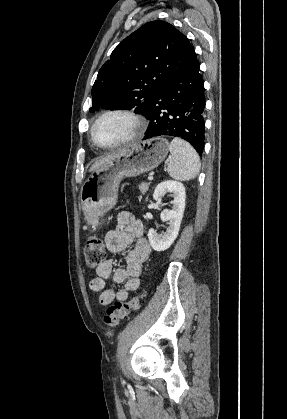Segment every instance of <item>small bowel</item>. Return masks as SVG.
<instances>
[{"mask_svg": "<svg viewBox=\"0 0 287 419\" xmlns=\"http://www.w3.org/2000/svg\"><path fill=\"white\" fill-rule=\"evenodd\" d=\"M144 231V224L140 220L128 212H122L118 217L116 228L106 233L105 244L110 252H122L132 243L134 247L126 257V267L114 269L112 262L108 260L96 269L97 276L90 281V288L100 293L99 303L102 306L110 304L115 299L124 301L131 292L138 290L144 263L151 253ZM110 277L113 282L124 283V286L116 291L106 289L105 282Z\"/></svg>", "mask_w": 287, "mask_h": 419, "instance_id": "1", "label": "small bowel"}]
</instances>
